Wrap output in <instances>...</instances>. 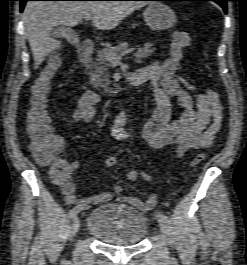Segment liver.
<instances>
[{
  "mask_svg": "<svg viewBox=\"0 0 247 265\" xmlns=\"http://www.w3.org/2000/svg\"><path fill=\"white\" fill-rule=\"evenodd\" d=\"M145 4L142 1H28L23 23L35 68L49 53L61 47V42L50 36L55 26L73 27L90 15L94 27L112 30Z\"/></svg>",
  "mask_w": 247,
  "mask_h": 265,
  "instance_id": "liver-1",
  "label": "liver"
}]
</instances>
